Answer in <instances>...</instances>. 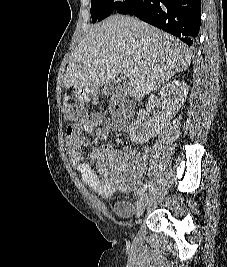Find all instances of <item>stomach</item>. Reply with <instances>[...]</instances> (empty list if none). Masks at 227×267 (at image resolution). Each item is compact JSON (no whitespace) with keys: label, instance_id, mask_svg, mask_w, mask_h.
Instances as JSON below:
<instances>
[{"label":"stomach","instance_id":"1","mask_svg":"<svg viewBox=\"0 0 227 267\" xmlns=\"http://www.w3.org/2000/svg\"><path fill=\"white\" fill-rule=\"evenodd\" d=\"M79 97H80L79 102H83V99H87V94L79 93ZM71 104H78V99H71Z\"/></svg>","mask_w":227,"mask_h":267}]
</instances>
